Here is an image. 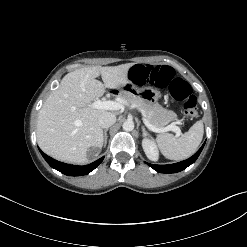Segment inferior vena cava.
<instances>
[{
	"label": "inferior vena cava",
	"instance_id": "1",
	"mask_svg": "<svg viewBox=\"0 0 247 247\" xmlns=\"http://www.w3.org/2000/svg\"><path fill=\"white\" fill-rule=\"evenodd\" d=\"M98 122L102 128H108L115 124L116 116L111 112H105L99 116Z\"/></svg>",
	"mask_w": 247,
	"mask_h": 247
}]
</instances>
